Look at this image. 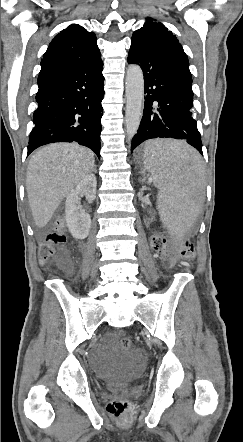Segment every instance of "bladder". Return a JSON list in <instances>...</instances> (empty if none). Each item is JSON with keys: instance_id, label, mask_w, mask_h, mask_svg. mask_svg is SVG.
Segmentation results:
<instances>
[{"instance_id": "1", "label": "bladder", "mask_w": 243, "mask_h": 442, "mask_svg": "<svg viewBox=\"0 0 243 442\" xmlns=\"http://www.w3.org/2000/svg\"><path fill=\"white\" fill-rule=\"evenodd\" d=\"M143 368V360L138 355L119 354L117 369L110 377L107 387L119 390L134 382Z\"/></svg>"}]
</instances>
